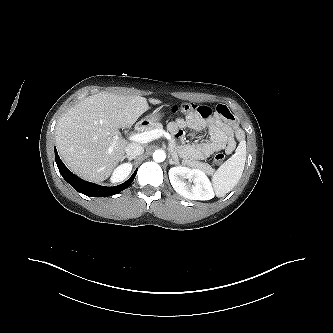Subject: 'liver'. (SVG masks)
<instances>
[{
    "label": "liver",
    "mask_w": 333,
    "mask_h": 333,
    "mask_svg": "<svg viewBox=\"0 0 333 333\" xmlns=\"http://www.w3.org/2000/svg\"><path fill=\"white\" fill-rule=\"evenodd\" d=\"M151 104L160 100L150 98ZM149 109L146 98L101 92L69 109L56 125V145L67 167L92 182L108 178L123 160L128 142L119 128L131 127ZM115 143V146H111Z\"/></svg>",
    "instance_id": "obj_1"
}]
</instances>
